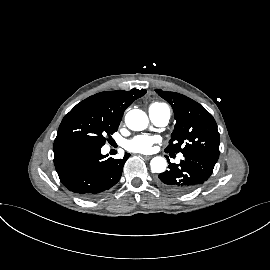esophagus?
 Segmentation results:
<instances>
[{
	"label": "esophagus",
	"mask_w": 270,
	"mask_h": 270,
	"mask_svg": "<svg viewBox=\"0 0 270 270\" xmlns=\"http://www.w3.org/2000/svg\"><path fill=\"white\" fill-rule=\"evenodd\" d=\"M142 157H143L144 159H146V160H149V159L152 158V156H148V155H142Z\"/></svg>",
	"instance_id": "34e87169"
}]
</instances>
